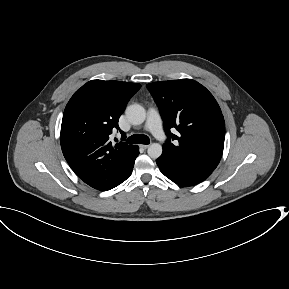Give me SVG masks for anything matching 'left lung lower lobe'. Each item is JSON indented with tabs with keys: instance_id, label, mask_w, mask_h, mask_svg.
I'll return each mask as SVG.
<instances>
[{
	"instance_id": "left-lung-lower-lobe-1",
	"label": "left lung lower lobe",
	"mask_w": 289,
	"mask_h": 289,
	"mask_svg": "<svg viewBox=\"0 0 289 289\" xmlns=\"http://www.w3.org/2000/svg\"><path fill=\"white\" fill-rule=\"evenodd\" d=\"M161 172L173 182L192 186L204 181L214 169L192 163H178L161 156L157 159Z\"/></svg>"
}]
</instances>
